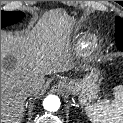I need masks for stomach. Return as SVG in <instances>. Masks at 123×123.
<instances>
[{"label":"stomach","instance_id":"0dacf381","mask_svg":"<svg viewBox=\"0 0 123 123\" xmlns=\"http://www.w3.org/2000/svg\"><path fill=\"white\" fill-rule=\"evenodd\" d=\"M101 76L98 71H91L82 79L61 77L57 87L69 95H76L82 105L88 104L97 97Z\"/></svg>","mask_w":123,"mask_h":123}]
</instances>
